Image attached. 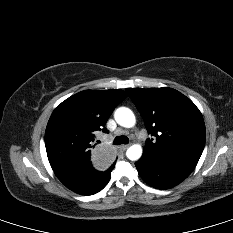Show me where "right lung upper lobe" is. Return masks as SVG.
I'll list each match as a JSON object with an SVG mask.
<instances>
[{
    "label": "right lung upper lobe",
    "instance_id": "1",
    "mask_svg": "<svg viewBox=\"0 0 233 233\" xmlns=\"http://www.w3.org/2000/svg\"><path fill=\"white\" fill-rule=\"evenodd\" d=\"M127 97L120 89L84 90L59 104L45 132V146L54 171L91 165L96 131L104 127L114 108ZM100 161V160H99Z\"/></svg>",
    "mask_w": 233,
    "mask_h": 233
}]
</instances>
